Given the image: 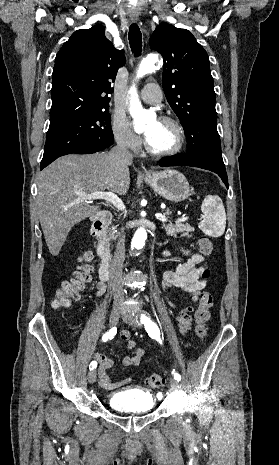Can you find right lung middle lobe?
<instances>
[{
	"label": "right lung middle lobe",
	"instance_id": "dd1d6c3e",
	"mask_svg": "<svg viewBox=\"0 0 279 465\" xmlns=\"http://www.w3.org/2000/svg\"><path fill=\"white\" fill-rule=\"evenodd\" d=\"M108 107L84 112L50 124L41 164L87 145L113 144Z\"/></svg>",
	"mask_w": 279,
	"mask_h": 465
}]
</instances>
